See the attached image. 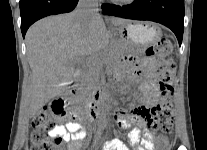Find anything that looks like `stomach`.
Instances as JSON below:
<instances>
[{"mask_svg":"<svg viewBox=\"0 0 207 150\" xmlns=\"http://www.w3.org/2000/svg\"><path fill=\"white\" fill-rule=\"evenodd\" d=\"M116 41L114 46L122 56L126 53L125 45L130 44L144 48L153 44L162 34L157 25L126 22L114 29Z\"/></svg>","mask_w":207,"mask_h":150,"instance_id":"1","label":"stomach"}]
</instances>
